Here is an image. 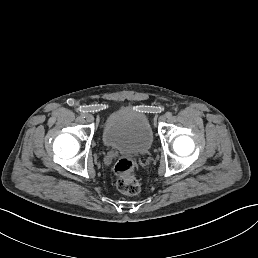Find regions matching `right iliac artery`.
<instances>
[{
	"mask_svg": "<svg viewBox=\"0 0 258 258\" xmlns=\"http://www.w3.org/2000/svg\"><path fill=\"white\" fill-rule=\"evenodd\" d=\"M81 117H83V118H84V117H85V113H81Z\"/></svg>",
	"mask_w": 258,
	"mask_h": 258,
	"instance_id": "right-iliac-artery-1",
	"label": "right iliac artery"
}]
</instances>
